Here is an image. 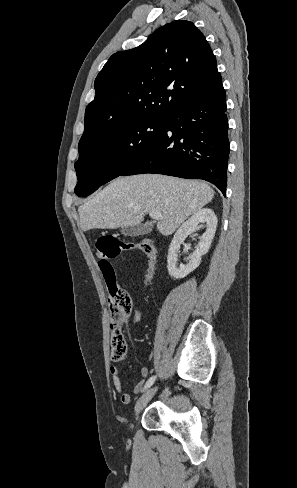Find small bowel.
Masks as SVG:
<instances>
[{
    "label": "small bowel",
    "mask_w": 297,
    "mask_h": 488,
    "mask_svg": "<svg viewBox=\"0 0 297 488\" xmlns=\"http://www.w3.org/2000/svg\"><path fill=\"white\" fill-rule=\"evenodd\" d=\"M141 317H142L141 312L138 310L133 311V313L131 314V318L134 322H139L141 320ZM129 318H130V315L126 316L123 319V323H127L129 321ZM109 372H110V376H111V379L113 382L114 389L120 395L121 402L123 404H129L132 400V397L130 394L123 392L119 368L116 366H111ZM148 373H149L148 368L143 367L140 369V378L141 379H140V381H138L134 385L133 393L136 394V393H139L140 391L143 390V388L145 386V379L148 376Z\"/></svg>",
    "instance_id": "1"
}]
</instances>
